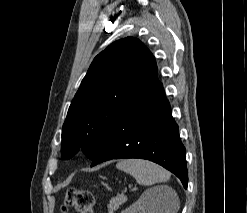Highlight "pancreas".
I'll return each mask as SVG.
<instances>
[{"label":"pancreas","mask_w":247,"mask_h":213,"mask_svg":"<svg viewBox=\"0 0 247 213\" xmlns=\"http://www.w3.org/2000/svg\"><path fill=\"white\" fill-rule=\"evenodd\" d=\"M127 201V197L120 194L110 200V204H108L109 213H113L117 210L121 205H123Z\"/></svg>","instance_id":"pancreas-1"}]
</instances>
